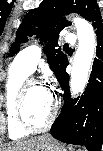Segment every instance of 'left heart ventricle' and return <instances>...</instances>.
I'll return each instance as SVG.
<instances>
[{"instance_id":"b2bd125f","label":"left heart ventricle","mask_w":103,"mask_h":151,"mask_svg":"<svg viewBox=\"0 0 103 151\" xmlns=\"http://www.w3.org/2000/svg\"><path fill=\"white\" fill-rule=\"evenodd\" d=\"M52 109V97L44 86L33 85L29 88L25 115L34 126H42L48 120Z\"/></svg>"}]
</instances>
